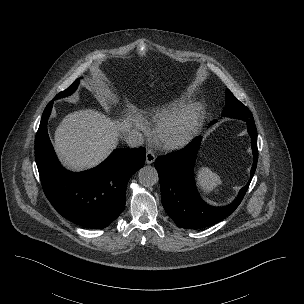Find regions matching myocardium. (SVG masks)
<instances>
[{"instance_id": "f54148a6", "label": "myocardium", "mask_w": 304, "mask_h": 304, "mask_svg": "<svg viewBox=\"0 0 304 304\" xmlns=\"http://www.w3.org/2000/svg\"><path fill=\"white\" fill-rule=\"evenodd\" d=\"M204 119V108L190 104L160 120L154 131L156 142L165 149H176L193 139Z\"/></svg>"}]
</instances>
